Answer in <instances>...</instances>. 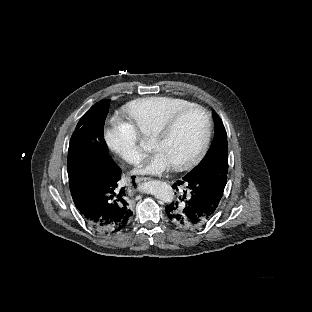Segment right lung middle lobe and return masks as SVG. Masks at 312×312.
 I'll list each match as a JSON object with an SVG mask.
<instances>
[{"instance_id":"obj_1","label":"right lung middle lobe","mask_w":312,"mask_h":312,"mask_svg":"<svg viewBox=\"0 0 312 312\" xmlns=\"http://www.w3.org/2000/svg\"><path fill=\"white\" fill-rule=\"evenodd\" d=\"M109 111V102L94 104L79 120L70 139L67 171L69 183L94 163L110 161L103 128Z\"/></svg>"}]
</instances>
